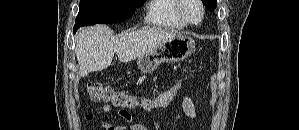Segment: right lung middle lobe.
I'll list each match as a JSON object with an SVG mask.
<instances>
[{"label":"right lung middle lobe","mask_w":299,"mask_h":130,"mask_svg":"<svg viewBox=\"0 0 299 130\" xmlns=\"http://www.w3.org/2000/svg\"><path fill=\"white\" fill-rule=\"evenodd\" d=\"M146 0H81L76 25L117 23L134 14Z\"/></svg>","instance_id":"dd1d6c3e"}]
</instances>
